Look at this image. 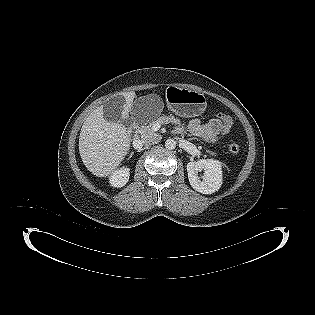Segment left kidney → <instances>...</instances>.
<instances>
[{
    "label": "left kidney",
    "instance_id": "left-kidney-1",
    "mask_svg": "<svg viewBox=\"0 0 315 315\" xmlns=\"http://www.w3.org/2000/svg\"><path fill=\"white\" fill-rule=\"evenodd\" d=\"M203 171L202 178L198 172ZM188 179L190 185L202 194L216 192L222 184V164L218 160L200 159L187 164Z\"/></svg>",
    "mask_w": 315,
    "mask_h": 315
}]
</instances>
